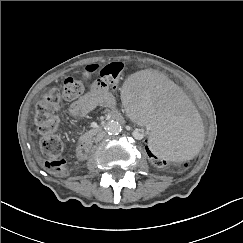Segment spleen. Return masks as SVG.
<instances>
[{"label": "spleen", "mask_w": 243, "mask_h": 243, "mask_svg": "<svg viewBox=\"0 0 243 243\" xmlns=\"http://www.w3.org/2000/svg\"><path fill=\"white\" fill-rule=\"evenodd\" d=\"M126 112L149 123V144L160 157L184 161L200 149L202 126L192 102L172 78L153 70H139L126 81L123 92Z\"/></svg>", "instance_id": "spleen-1"}]
</instances>
